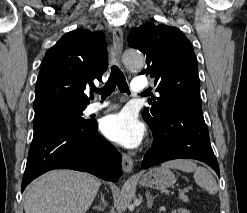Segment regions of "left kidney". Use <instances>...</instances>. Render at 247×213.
Listing matches in <instances>:
<instances>
[{
  "label": "left kidney",
  "instance_id": "5707ae66",
  "mask_svg": "<svg viewBox=\"0 0 247 213\" xmlns=\"http://www.w3.org/2000/svg\"><path fill=\"white\" fill-rule=\"evenodd\" d=\"M178 212L179 213H190V211L187 209H179Z\"/></svg>",
  "mask_w": 247,
  "mask_h": 213
}]
</instances>
